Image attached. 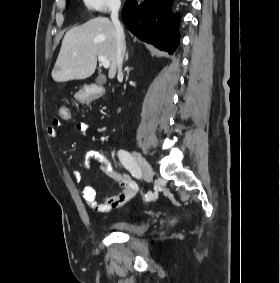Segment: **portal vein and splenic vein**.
Here are the masks:
<instances>
[{"mask_svg":"<svg viewBox=\"0 0 280 283\" xmlns=\"http://www.w3.org/2000/svg\"><path fill=\"white\" fill-rule=\"evenodd\" d=\"M99 62L103 65L104 68L110 67V61L103 55H98Z\"/></svg>","mask_w":280,"mask_h":283,"instance_id":"portal-vein-and-splenic-vein-1","label":"portal vein and splenic vein"}]
</instances>
